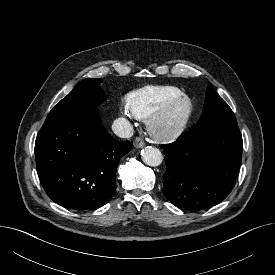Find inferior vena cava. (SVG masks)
<instances>
[{
	"label": "inferior vena cava",
	"instance_id": "602c4592",
	"mask_svg": "<svg viewBox=\"0 0 275 275\" xmlns=\"http://www.w3.org/2000/svg\"><path fill=\"white\" fill-rule=\"evenodd\" d=\"M113 132L121 138H130L134 134L131 123L125 118H118L112 124Z\"/></svg>",
	"mask_w": 275,
	"mask_h": 275
}]
</instances>
